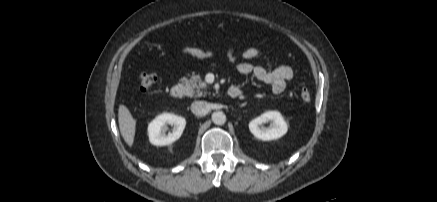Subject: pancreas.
<instances>
[{"label": "pancreas", "mask_w": 437, "mask_h": 202, "mask_svg": "<svg viewBox=\"0 0 437 202\" xmlns=\"http://www.w3.org/2000/svg\"><path fill=\"white\" fill-rule=\"evenodd\" d=\"M182 84L186 88V95L189 97L206 96L207 84L201 79L200 75H192L190 78L183 77Z\"/></svg>", "instance_id": "cf45deb5"}]
</instances>
